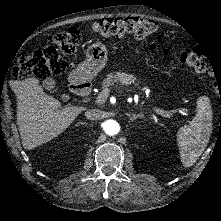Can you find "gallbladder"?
Listing matches in <instances>:
<instances>
[{
    "instance_id": "gallbladder-1",
    "label": "gallbladder",
    "mask_w": 221,
    "mask_h": 221,
    "mask_svg": "<svg viewBox=\"0 0 221 221\" xmlns=\"http://www.w3.org/2000/svg\"><path fill=\"white\" fill-rule=\"evenodd\" d=\"M55 84H56L55 80L50 77H47L42 81L43 88L48 91H51L53 88H55Z\"/></svg>"
}]
</instances>
